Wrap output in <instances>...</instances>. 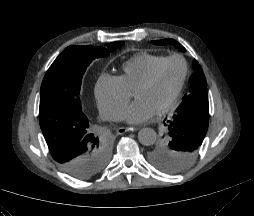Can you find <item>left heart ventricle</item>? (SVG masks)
<instances>
[{"label":"left heart ventricle","mask_w":254,"mask_h":216,"mask_svg":"<svg viewBox=\"0 0 254 216\" xmlns=\"http://www.w3.org/2000/svg\"><path fill=\"white\" fill-rule=\"evenodd\" d=\"M183 72L182 64L171 60L163 65L155 81L148 87L134 92L135 99L150 104L156 111L165 106L173 97Z\"/></svg>","instance_id":"1"}]
</instances>
